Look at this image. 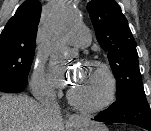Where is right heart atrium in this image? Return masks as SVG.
Instances as JSON below:
<instances>
[{"instance_id":"1","label":"right heart atrium","mask_w":151,"mask_h":131,"mask_svg":"<svg viewBox=\"0 0 151 131\" xmlns=\"http://www.w3.org/2000/svg\"><path fill=\"white\" fill-rule=\"evenodd\" d=\"M31 85L34 93L39 97L48 96L52 92L49 78L45 73L44 62L41 58H37L34 62Z\"/></svg>"}]
</instances>
